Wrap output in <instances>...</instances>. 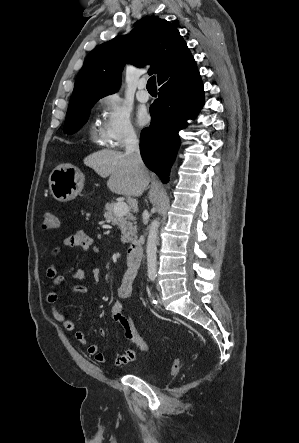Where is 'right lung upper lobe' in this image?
I'll return each mask as SVG.
<instances>
[{"label": "right lung upper lobe", "instance_id": "right-lung-upper-lobe-1", "mask_svg": "<svg viewBox=\"0 0 299 443\" xmlns=\"http://www.w3.org/2000/svg\"><path fill=\"white\" fill-rule=\"evenodd\" d=\"M126 59L136 66L150 64V73L157 74L158 83L196 68L177 28L165 19L147 16L129 35L116 37L89 53L76 78L69 108L115 93Z\"/></svg>", "mask_w": 299, "mask_h": 443}]
</instances>
